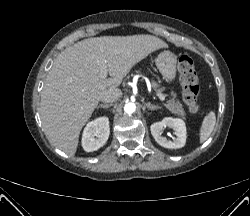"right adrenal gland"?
Returning a JSON list of instances; mask_svg holds the SVG:
<instances>
[{
    "label": "right adrenal gland",
    "mask_w": 250,
    "mask_h": 216,
    "mask_svg": "<svg viewBox=\"0 0 250 216\" xmlns=\"http://www.w3.org/2000/svg\"><path fill=\"white\" fill-rule=\"evenodd\" d=\"M111 106H112V104H101L97 108H109Z\"/></svg>",
    "instance_id": "obj_1"
}]
</instances>
